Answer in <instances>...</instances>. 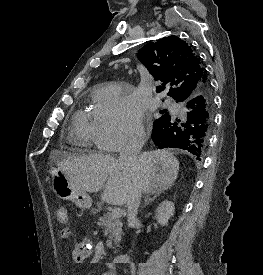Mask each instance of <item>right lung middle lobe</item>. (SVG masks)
Returning <instances> with one entry per match:
<instances>
[{"instance_id": "right-lung-middle-lobe-1", "label": "right lung middle lobe", "mask_w": 263, "mask_h": 275, "mask_svg": "<svg viewBox=\"0 0 263 275\" xmlns=\"http://www.w3.org/2000/svg\"><path fill=\"white\" fill-rule=\"evenodd\" d=\"M161 114H163L162 116H164V117L169 115L168 112H167V110H162V111H161ZM162 116H161V117H162Z\"/></svg>"}]
</instances>
